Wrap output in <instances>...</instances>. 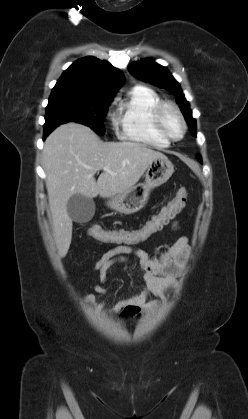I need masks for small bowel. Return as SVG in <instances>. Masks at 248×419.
<instances>
[{"label": "small bowel", "mask_w": 248, "mask_h": 419, "mask_svg": "<svg viewBox=\"0 0 248 419\" xmlns=\"http://www.w3.org/2000/svg\"><path fill=\"white\" fill-rule=\"evenodd\" d=\"M147 223L135 230H119L136 236L135 240L129 243H118L117 246L104 253L94 265V270L98 273L99 279V282L94 284V289L98 294H105L107 292L105 284L108 280L109 269L116 264H131L128 256H134L139 260L143 272V289L118 301L108 309L111 313H120L123 320L138 318L142 311L148 312L155 308L159 304V300L148 301V297L156 295L159 298H165L176 285L177 279L185 270L189 258V241L185 236L178 238L165 252L155 257H150L144 250L134 247V244L146 240L155 233L138 236L145 230ZM86 300L95 303L93 294H87Z\"/></svg>", "instance_id": "c3829d8e"}]
</instances>
